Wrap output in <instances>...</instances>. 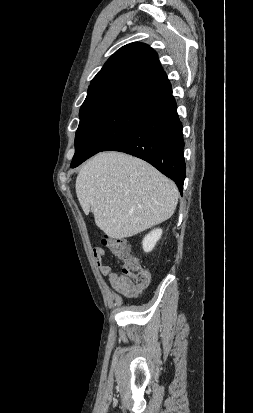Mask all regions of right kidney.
<instances>
[{
    "mask_svg": "<svg viewBox=\"0 0 253 413\" xmlns=\"http://www.w3.org/2000/svg\"><path fill=\"white\" fill-rule=\"evenodd\" d=\"M162 236V229H154L142 241L143 250L145 252H150L155 247L157 241Z\"/></svg>",
    "mask_w": 253,
    "mask_h": 413,
    "instance_id": "obj_1",
    "label": "right kidney"
}]
</instances>
